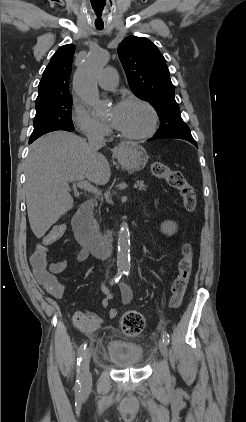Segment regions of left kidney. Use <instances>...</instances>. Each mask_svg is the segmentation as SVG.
<instances>
[{"label":"left kidney","mask_w":246,"mask_h":422,"mask_svg":"<svg viewBox=\"0 0 246 422\" xmlns=\"http://www.w3.org/2000/svg\"><path fill=\"white\" fill-rule=\"evenodd\" d=\"M161 232L171 236L177 232V224L173 221H164L161 224Z\"/></svg>","instance_id":"obj_1"}]
</instances>
